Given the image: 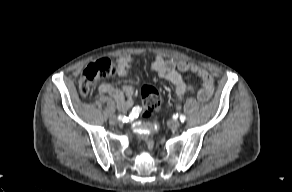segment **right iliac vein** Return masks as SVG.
Wrapping results in <instances>:
<instances>
[{"mask_svg":"<svg viewBox=\"0 0 292 192\" xmlns=\"http://www.w3.org/2000/svg\"><path fill=\"white\" fill-rule=\"evenodd\" d=\"M118 118L116 117V116H112V117H110V122L112 123V124H116V123H118Z\"/></svg>","mask_w":292,"mask_h":192,"instance_id":"obj_1","label":"right iliac vein"}]
</instances>
